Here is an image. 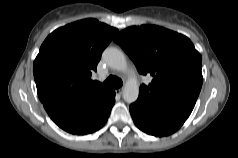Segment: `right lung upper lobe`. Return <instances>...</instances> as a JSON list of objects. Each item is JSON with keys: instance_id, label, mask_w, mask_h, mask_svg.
Segmentation results:
<instances>
[{"instance_id": "cb5924a9", "label": "right lung upper lobe", "mask_w": 238, "mask_h": 158, "mask_svg": "<svg viewBox=\"0 0 238 158\" xmlns=\"http://www.w3.org/2000/svg\"><path fill=\"white\" fill-rule=\"evenodd\" d=\"M117 33L116 28L95 19L77 21L52 32L33 64L41 102L107 96L112 90L97 86L90 77Z\"/></svg>"}]
</instances>
